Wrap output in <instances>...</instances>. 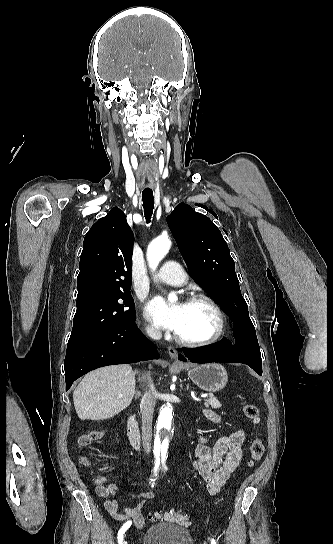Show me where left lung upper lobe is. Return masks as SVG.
Returning a JSON list of instances; mask_svg holds the SVG:
<instances>
[{"label":"left lung upper lobe","instance_id":"obj_1","mask_svg":"<svg viewBox=\"0 0 333 544\" xmlns=\"http://www.w3.org/2000/svg\"><path fill=\"white\" fill-rule=\"evenodd\" d=\"M167 222L194 280L222 302L233 322L249 320L234 260L217 226L184 203L176 206Z\"/></svg>","mask_w":333,"mask_h":544}]
</instances>
